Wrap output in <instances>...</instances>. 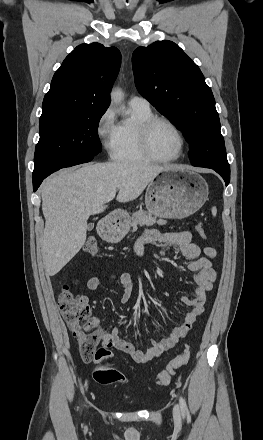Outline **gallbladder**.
I'll list each match as a JSON object with an SVG mask.
<instances>
[{
	"label": "gallbladder",
	"mask_w": 263,
	"mask_h": 440,
	"mask_svg": "<svg viewBox=\"0 0 263 440\" xmlns=\"http://www.w3.org/2000/svg\"><path fill=\"white\" fill-rule=\"evenodd\" d=\"M93 228H94V224H93V223H90V224L88 225V230L91 231Z\"/></svg>",
	"instance_id": "bac80fb5"
}]
</instances>
